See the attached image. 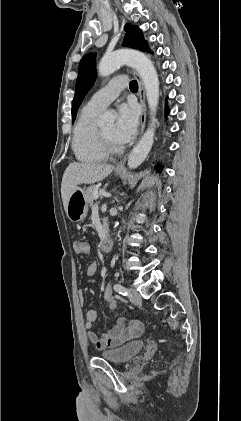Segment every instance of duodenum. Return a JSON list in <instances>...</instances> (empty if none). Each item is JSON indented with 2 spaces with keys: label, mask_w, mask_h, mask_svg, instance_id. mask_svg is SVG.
Instances as JSON below:
<instances>
[{
  "label": "duodenum",
  "mask_w": 241,
  "mask_h": 421,
  "mask_svg": "<svg viewBox=\"0 0 241 421\" xmlns=\"http://www.w3.org/2000/svg\"><path fill=\"white\" fill-rule=\"evenodd\" d=\"M112 243L108 235H105L101 241L100 249L102 252H109L111 250Z\"/></svg>",
  "instance_id": "1"
}]
</instances>
